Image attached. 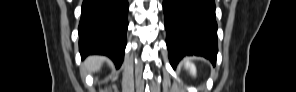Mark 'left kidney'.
<instances>
[{
    "instance_id": "1",
    "label": "left kidney",
    "mask_w": 296,
    "mask_h": 92,
    "mask_svg": "<svg viewBox=\"0 0 296 92\" xmlns=\"http://www.w3.org/2000/svg\"><path fill=\"white\" fill-rule=\"evenodd\" d=\"M185 68L190 71V73L195 76L196 75V67L193 63L189 62L188 60L184 61Z\"/></svg>"
}]
</instances>
